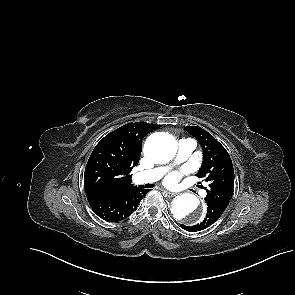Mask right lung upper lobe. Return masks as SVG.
<instances>
[{"mask_svg":"<svg viewBox=\"0 0 295 295\" xmlns=\"http://www.w3.org/2000/svg\"><path fill=\"white\" fill-rule=\"evenodd\" d=\"M161 126L146 122L129 123L110 132L96 145L93 154L103 153L121 167L116 185L108 192H120L134 187L129 173L139 162L142 140L146 134Z\"/></svg>","mask_w":295,"mask_h":295,"instance_id":"1","label":"right lung upper lobe"}]
</instances>
